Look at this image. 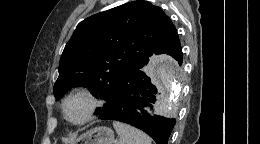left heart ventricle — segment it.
<instances>
[{
	"instance_id": "b2bd125f",
	"label": "left heart ventricle",
	"mask_w": 260,
	"mask_h": 144,
	"mask_svg": "<svg viewBox=\"0 0 260 144\" xmlns=\"http://www.w3.org/2000/svg\"><path fill=\"white\" fill-rule=\"evenodd\" d=\"M88 107V102L81 97L74 98L67 103L66 113L69 119L78 121L82 119Z\"/></svg>"
}]
</instances>
